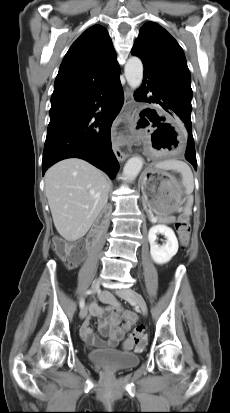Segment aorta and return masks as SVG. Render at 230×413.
Returning <instances> with one entry per match:
<instances>
[{
  "label": "aorta",
  "mask_w": 230,
  "mask_h": 413,
  "mask_svg": "<svg viewBox=\"0 0 230 413\" xmlns=\"http://www.w3.org/2000/svg\"><path fill=\"white\" fill-rule=\"evenodd\" d=\"M125 77L127 83L132 89L140 87L143 79V64L142 61L135 56L130 57L125 64ZM143 167V159L141 157L130 158L123 168L124 178L132 182L139 174Z\"/></svg>",
  "instance_id": "762f6f07"
}]
</instances>
